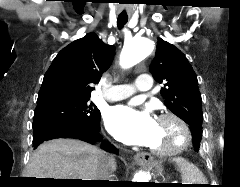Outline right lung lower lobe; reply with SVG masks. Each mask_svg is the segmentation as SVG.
<instances>
[{"label":"right lung lower lobe","mask_w":240,"mask_h":187,"mask_svg":"<svg viewBox=\"0 0 240 187\" xmlns=\"http://www.w3.org/2000/svg\"><path fill=\"white\" fill-rule=\"evenodd\" d=\"M99 132L100 117L98 121L86 126H76L68 122L52 120L34 127L33 146L37 148L44 141L56 138H74L95 144L102 139V136L99 134ZM101 148L111 153H117V149L106 141L101 144ZM100 186L113 185L106 184Z\"/></svg>","instance_id":"obj_1"}]
</instances>
